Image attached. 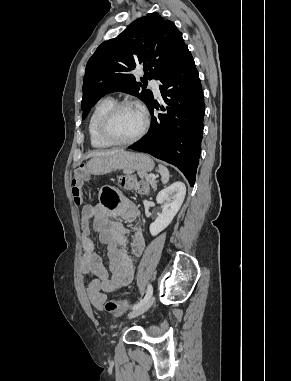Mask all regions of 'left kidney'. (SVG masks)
<instances>
[{
    "label": "left kidney",
    "mask_w": 291,
    "mask_h": 381,
    "mask_svg": "<svg viewBox=\"0 0 291 381\" xmlns=\"http://www.w3.org/2000/svg\"><path fill=\"white\" fill-rule=\"evenodd\" d=\"M185 194L186 186L180 181L174 182L158 193L156 200L162 204V213L150 225L152 236L159 234L172 222L184 201Z\"/></svg>",
    "instance_id": "1"
}]
</instances>
